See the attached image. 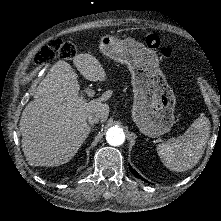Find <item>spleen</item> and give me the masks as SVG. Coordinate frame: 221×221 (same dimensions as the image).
Listing matches in <instances>:
<instances>
[{
	"label": "spleen",
	"mask_w": 221,
	"mask_h": 221,
	"mask_svg": "<svg viewBox=\"0 0 221 221\" xmlns=\"http://www.w3.org/2000/svg\"><path fill=\"white\" fill-rule=\"evenodd\" d=\"M211 122L204 112L192 122L187 130L157 147L165 166L176 172L190 170L201 160L210 137Z\"/></svg>",
	"instance_id": "spleen-1"
}]
</instances>
